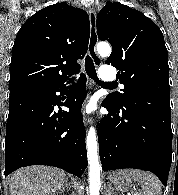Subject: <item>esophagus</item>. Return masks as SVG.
<instances>
[{
	"instance_id": "1",
	"label": "esophagus",
	"mask_w": 178,
	"mask_h": 195,
	"mask_svg": "<svg viewBox=\"0 0 178 195\" xmlns=\"http://www.w3.org/2000/svg\"><path fill=\"white\" fill-rule=\"evenodd\" d=\"M89 21H90V38H89V54L93 59L96 66L101 64V59L96 52V45L98 43V35L96 29V12L94 9L89 10ZM92 123V117L90 115L84 114V124L88 126Z\"/></svg>"
}]
</instances>
